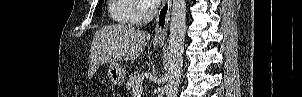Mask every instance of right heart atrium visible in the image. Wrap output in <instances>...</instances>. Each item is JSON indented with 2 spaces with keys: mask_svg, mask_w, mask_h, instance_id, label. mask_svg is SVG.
I'll return each mask as SVG.
<instances>
[{
  "mask_svg": "<svg viewBox=\"0 0 302 97\" xmlns=\"http://www.w3.org/2000/svg\"><path fill=\"white\" fill-rule=\"evenodd\" d=\"M150 17V4L147 1H140L137 7L136 20L137 23H143Z\"/></svg>",
  "mask_w": 302,
  "mask_h": 97,
  "instance_id": "d8ad5b80",
  "label": "right heart atrium"
}]
</instances>
